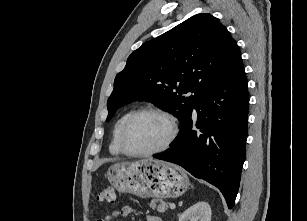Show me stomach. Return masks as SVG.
<instances>
[{"label": "stomach", "mask_w": 307, "mask_h": 221, "mask_svg": "<svg viewBox=\"0 0 307 221\" xmlns=\"http://www.w3.org/2000/svg\"><path fill=\"white\" fill-rule=\"evenodd\" d=\"M107 178L117 191L142 198L179 197L189 186L179 166L152 159L116 163L109 168Z\"/></svg>", "instance_id": "1"}]
</instances>
